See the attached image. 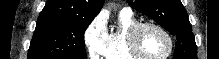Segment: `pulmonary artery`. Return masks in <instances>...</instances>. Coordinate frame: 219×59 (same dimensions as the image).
<instances>
[{"label":"pulmonary artery","mask_w":219,"mask_h":59,"mask_svg":"<svg viewBox=\"0 0 219 59\" xmlns=\"http://www.w3.org/2000/svg\"><path fill=\"white\" fill-rule=\"evenodd\" d=\"M121 12H132L129 7H124L120 10Z\"/></svg>","instance_id":"pulmonary-artery-1"}]
</instances>
